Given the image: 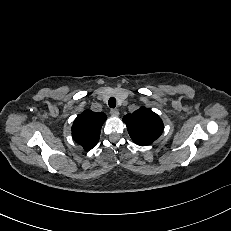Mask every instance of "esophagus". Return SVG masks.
<instances>
[{"instance_id":"esophagus-1","label":"esophagus","mask_w":231,"mask_h":231,"mask_svg":"<svg viewBox=\"0 0 231 231\" xmlns=\"http://www.w3.org/2000/svg\"><path fill=\"white\" fill-rule=\"evenodd\" d=\"M110 114H111L112 116H118V115H119V111H118L117 109H111V110H110Z\"/></svg>"}]
</instances>
